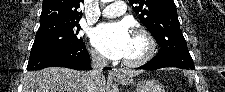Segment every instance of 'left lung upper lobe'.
I'll list each match as a JSON object with an SVG mask.
<instances>
[{
	"label": "left lung upper lobe",
	"mask_w": 225,
	"mask_h": 92,
	"mask_svg": "<svg viewBox=\"0 0 225 92\" xmlns=\"http://www.w3.org/2000/svg\"><path fill=\"white\" fill-rule=\"evenodd\" d=\"M160 46L157 56L190 55L173 0H129Z\"/></svg>",
	"instance_id": "obj_1"
}]
</instances>
